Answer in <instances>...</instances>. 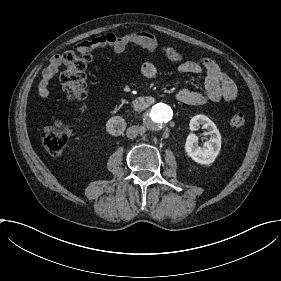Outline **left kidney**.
<instances>
[{"instance_id": "1", "label": "left kidney", "mask_w": 281, "mask_h": 281, "mask_svg": "<svg viewBox=\"0 0 281 281\" xmlns=\"http://www.w3.org/2000/svg\"><path fill=\"white\" fill-rule=\"evenodd\" d=\"M202 125L208 131L210 138L199 146L198 137L194 133L187 136L185 151L195 162L200 164H211L217 157L221 148V135L213 121L205 115H196L190 120V130L196 131Z\"/></svg>"}]
</instances>
